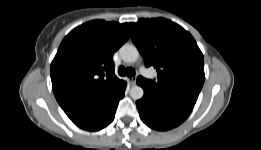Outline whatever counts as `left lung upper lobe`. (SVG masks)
Listing matches in <instances>:
<instances>
[{
	"mask_svg": "<svg viewBox=\"0 0 261 150\" xmlns=\"http://www.w3.org/2000/svg\"><path fill=\"white\" fill-rule=\"evenodd\" d=\"M131 39L153 66L157 80L138 77L155 89L177 91L198 98L204 83V58L196 41L181 26L164 18L141 19L130 23Z\"/></svg>",
	"mask_w": 261,
	"mask_h": 150,
	"instance_id": "5c2ea615",
	"label": "left lung upper lobe"
}]
</instances>
